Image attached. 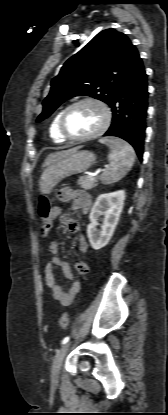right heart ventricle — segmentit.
Returning a JSON list of instances; mask_svg holds the SVG:
<instances>
[{"label": "right heart ventricle", "instance_id": "right-heart-ventricle-1", "mask_svg": "<svg viewBox=\"0 0 168 415\" xmlns=\"http://www.w3.org/2000/svg\"><path fill=\"white\" fill-rule=\"evenodd\" d=\"M62 111L56 113L49 126V136L55 143H64L66 139L61 135L59 131V118Z\"/></svg>", "mask_w": 168, "mask_h": 415}]
</instances>
